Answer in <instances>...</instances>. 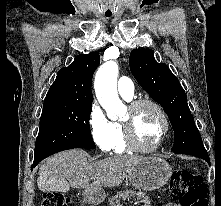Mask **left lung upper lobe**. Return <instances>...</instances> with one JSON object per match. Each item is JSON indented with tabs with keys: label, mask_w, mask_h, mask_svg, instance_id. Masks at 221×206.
Wrapping results in <instances>:
<instances>
[{
	"label": "left lung upper lobe",
	"mask_w": 221,
	"mask_h": 206,
	"mask_svg": "<svg viewBox=\"0 0 221 206\" xmlns=\"http://www.w3.org/2000/svg\"><path fill=\"white\" fill-rule=\"evenodd\" d=\"M129 65L141 87L165 108L175 136L172 151L177 154L207 155L188 107L186 93L168 66L157 63L151 49L133 50Z\"/></svg>",
	"instance_id": "obj_1"
}]
</instances>
